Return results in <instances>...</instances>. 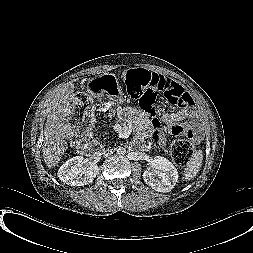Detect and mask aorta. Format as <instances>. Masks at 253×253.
<instances>
[{"instance_id":"762f6f07","label":"aorta","mask_w":253,"mask_h":253,"mask_svg":"<svg viewBox=\"0 0 253 253\" xmlns=\"http://www.w3.org/2000/svg\"><path fill=\"white\" fill-rule=\"evenodd\" d=\"M116 153H117L119 156H123V155L126 153V148H125V147H119V148L116 150Z\"/></svg>"}]
</instances>
